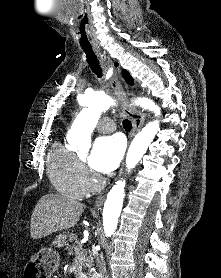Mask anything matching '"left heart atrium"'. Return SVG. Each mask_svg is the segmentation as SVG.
I'll use <instances>...</instances> for the list:
<instances>
[{"label": "left heart atrium", "instance_id": "left-heart-atrium-1", "mask_svg": "<svg viewBox=\"0 0 221 278\" xmlns=\"http://www.w3.org/2000/svg\"><path fill=\"white\" fill-rule=\"evenodd\" d=\"M123 148V142L118 136L98 138L89 157L90 166L99 174L112 172L119 164Z\"/></svg>", "mask_w": 221, "mask_h": 278}]
</instances>
